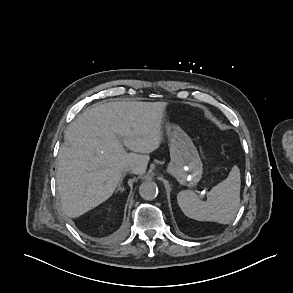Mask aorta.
Segmentation results:
<instances>
[{"label":"aorta","instance_id":"1","mask_svg":"<svg viewBox=\"0 0 293 293\" xmlns=\"http://www.w3.org/2000/svg\"><path fill=\"white\" fill-rule=\"evenodd\" d=\"M139 193L146 200H153L158 195V187L153 181H145L139 187Z\"/></svg>","mask_w":293,"mask_h":293}]
</instances>
